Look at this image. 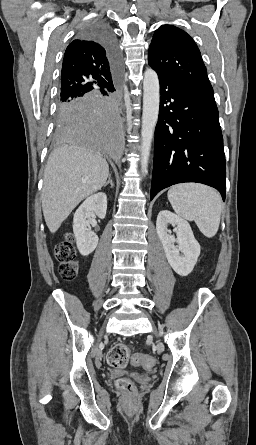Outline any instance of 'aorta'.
<instances>
[{
  "label": "aorta",
  "instance_id": "obj_1",
  "mask_svg": "<svg viewBox=\"0 0 256 445\" xmlns=\"http://www.w3.org/2000/svg\"><path fill=\"white\" fill-rule=\"evenodd\" d=\"M143 114L141 129V172L145 176L148 172V159L151 151V145L155 126L158 120L160 93L159 79L153 69H147L143 80Z\"/></svg>",
  "mask_w": 256,
  "mask_h": 445
}]
</instances>
